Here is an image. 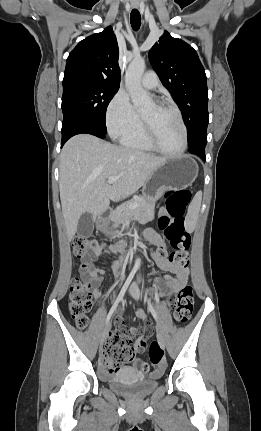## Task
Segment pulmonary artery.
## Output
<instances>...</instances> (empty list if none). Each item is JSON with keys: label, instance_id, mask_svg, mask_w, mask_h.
<instances>
[{"label": "pulmonary artery", "instance_id": "e3ab8cb5", "mask_svg": "<svg viewBox=\"0 0 261 431\" xmlns=\"http://www.w3.org/2000/svg\"><path fill=\"white\" fill-rule=\"evenodd\" d=\"M159 84L157 75L155 72L153 71H148L146 72L143 77H142V85L149 89V90H153L155 89Z\"/></svg>", "mask_w": 261, "mask_h": 431}]
</instances>
